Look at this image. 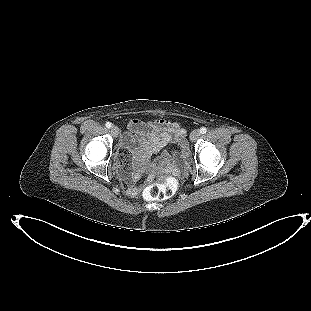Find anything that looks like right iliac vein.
<instances>
[{
	"instance_id": "1",
	"label": "right iliac vein",
	"mask_w": 311,
	"mask_h": 311,
	"mask_svg": "<svg viewBox=\"0 0 311 311\" xmlns=\"http://www.w3.org/2000/svg\"><path fill=\"white\" fill-rule=\"evenodd\" d=\"M111 133L114 137H117L119 135V128L117 126H112Z\"/></svg>"
}]
</instances>
